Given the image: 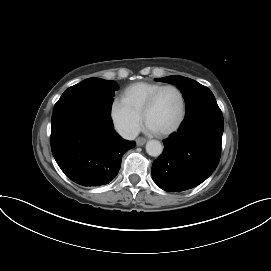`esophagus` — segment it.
<instances>
[{
	"mask_svg": "<svg viewBox=\"0 0 271 271\" xmlns=\"http://www.w3.org/2000/svg\"><path fill=\"white\" fill-rule=\"evenodd\" d=\"M145 143H146V139L143 138V137H139V138L136 139V144L138 146H143Z\"/></svg>",
	"mask_w": 271,
	"mask_h": 271,
	"instance_id": "34e87169",
	"label": "esophagus"
}]
</instances>
